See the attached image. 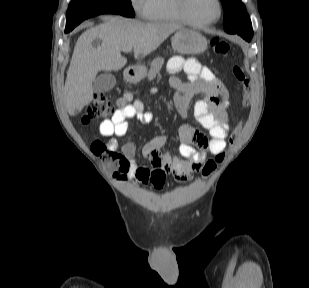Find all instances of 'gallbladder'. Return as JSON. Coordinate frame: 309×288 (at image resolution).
I'll list each match as a JSON object with an SVG mask.
<instances>
[{
    "instance_id": "gallbladder-1",
    "label": "gallbladder",
    "mask_w": 309,
    "mask_h": 288,
    "mask_svg": "<svg viewBox=\"0 0 309 288\" xmlns=\"http://www.w3.org/2000/svg\"><path fill=\"white\" fill-rule=\"evenodd\" d=\"M116 84L115 76L111 73L99 75L93 82V90L96 93L108 92L114 88Z\"/></svg>"
}]
</instances>
